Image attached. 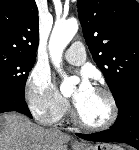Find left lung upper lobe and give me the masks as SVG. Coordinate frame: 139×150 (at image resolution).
<instances>
[{
	"mask_svg": "<svg viewBox=\"0 0 139 150\" xmlns=\"http://www.w3.org/2000/svg\"><path fill=\"white\" fill-rule=\"evenodd\" d=\"M77 6L86 43L118 104L139 82V3L78 0Z\"/></svg>",
	"mask_w": 139,
	"mask_h": 150,
	"instance_id": "left-lung-upper-lobe-1",
	"label": "left lung upper lobe"
}]
</instances>
